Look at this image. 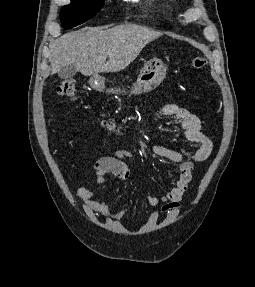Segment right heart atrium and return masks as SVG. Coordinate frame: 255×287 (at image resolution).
Here are the masks:
<instances>
[{"label": "right heart atrium", "mask_w": 255, "mask_h": 287, "mask_svg": "<svg viewBox=\"0 0 255 287\" xmlns=\"http://www.w3.org/2000/svg\"><path fill=\"white\" fill-rule=\"evenodd\" d=\"M114 48H126V47H114Z\"/></svg>", "instance_id": "d8ad5b80"}]
</instances>
